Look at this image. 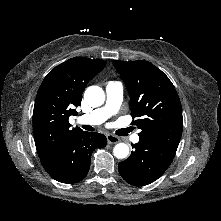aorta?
<instances>
[{"label": "aorta", "mask_w": 221, "mask_h": 221, "mask_svg": "<svg viewBox=\"0 0 221 221\" xmlns=\"http://www.w3.org/2000/svg\"><path fill=\"white\" fill-rule=\"evenodd\" d=\"M85 101L92 107L101 106L105 101V94L101 87L90 86L84 94ZM114 156L119 159H124L129 154V147L125 143H118L113 149Z\"/></svg>", "instance_id": "762f6f07"}]
</instances>
